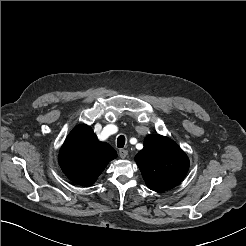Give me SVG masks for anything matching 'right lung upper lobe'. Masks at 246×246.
Returning <instances> with one entry per match:
<instances>
[{"label":"right lung upper lobe","instance_id":"right-lung-upper-lobe-1","mask_svg":"<svg viewBox=\"0 0 246 246\" xmlns=\"http://www.w3.org/2000/svg\"><path fill=\"white\" fill-rule=\"evenodd\" d=\"M116 157L114 148L100 142L91 127L80 125L70 132L60 149L59 164L71 181L90 185Z\"/></svg>","mask_w":246,"mask_h":246}]
</instances>
